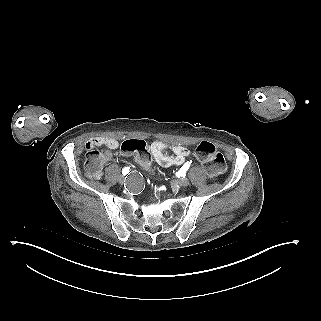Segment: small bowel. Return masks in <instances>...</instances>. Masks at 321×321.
<instances>
[{
	"label": "small bowel",
	"instance_id": "c3829d8e",
	"mask_svg": "<svg viewBox=\"0 0 321 321\" xmlns=\"http://www.w3.org/2000/svg\"><path fill=\"white\" fill-rule=\"evenodd\" d=\"M97 146H105L109 151H113L119 147V142L111 137H93L86 143L87 149H92ZM166 150H170L173 153V156L166 154ZM150 152L155 161L163 167L183 165L187 158L191 155V151L186 147L180 145H171L161 141L152 143L150 146ZM110 156V152L106 153L104 156V161ZM100 174L101 172L96 177H98Z\"/></svg>",
	"mask_w": 321,
	"mask_h": 321
}]
</instances>
